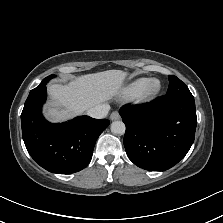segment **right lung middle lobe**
Segmentation results:
<instances>
[{"label":"right lung middle lobe","instance_id":"obj_1","mask_svg":"<svg viewBox=\"0 0 223 223\" xmlns=\"http://www.w3.org/2000/svg\"><path fill=\"white\" fill-rule=\"evenodd\" d=\"M53 77H55V75H50L46 77L45 79L42 80V82L36 88H39L41 85L48 83V81L51 80Z\"/></svg>","mask_w":223,"mask_h":223}]
</instances>
